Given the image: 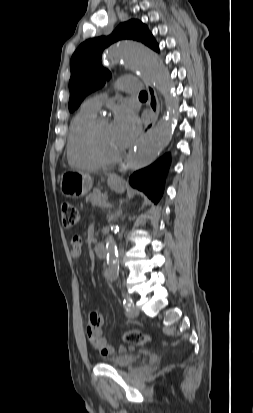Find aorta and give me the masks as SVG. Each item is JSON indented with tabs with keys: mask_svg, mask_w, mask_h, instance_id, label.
Wrapping results in <instances>:
<instances>
[{
	"mask_svg": "<svg viewBox=\"0 0 253 413\" xmlns=\"http://www.w3.org/2000/svg\"><path fill=\"white\" fill-rule=\"evenodd\" d=\"M107 58L112 62L122 61L127 68L140 72L145 79L151 81L163 95L168 109L167 115L135 145L127 163L128 168L135 171L152 163L172 138L178 115V102L173 93L174 85L157 54L139 42L119 41L108 49ZM105 249L108 262L107 277L115 281L119 274V264L116 242L112 235L107 236Z\"/></svg>",
	"mask_w": 253,
	"mask_h": 413,
	"instance_id": "1",
	"label": "aorta"
}]
</instances>
